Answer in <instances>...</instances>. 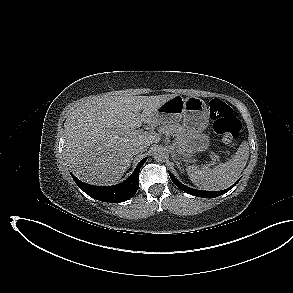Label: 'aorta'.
<instances>
[{
  "label": "aorta",
  "instance_id": "aorta-1",
  "mask_svg": "<svg viewBox=\"0 0 293 293\" xmlns=\"http://www.w3.org/2000/svg\"><path fill=\"white\" fill-rule=\"evenodd\" d=\"M153 156L155 160L161 161L166 158L167 152L164 148L159 147L154 151Z\"/></svg>",
  "mask_w": 293,
  "mask_h": 293
}]
</instances>
